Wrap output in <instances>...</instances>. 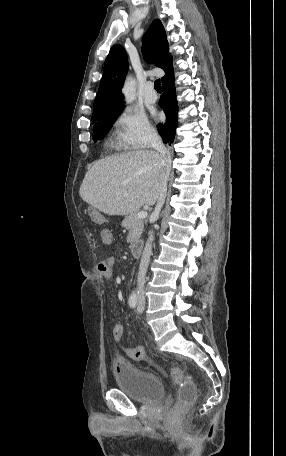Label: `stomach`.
<instances>
[{
  "mask_svg": "<svg viewBox=\"0 0 286 456\" xmlns=\"http://www.w3.org/2000/svg\"><path fill=\"white\" fill-rule=\"evenodd\" d=\"M90 215H91L92 217H95V216L97 215V211H96L94 208H92V209L90 210Z\"/></svg>",
  "mask_w": 286,
  "mask_h": 456,
  "instance_id": "stomach-1",
  "label": "stomach"
}]
</instances>
